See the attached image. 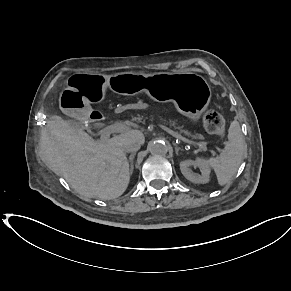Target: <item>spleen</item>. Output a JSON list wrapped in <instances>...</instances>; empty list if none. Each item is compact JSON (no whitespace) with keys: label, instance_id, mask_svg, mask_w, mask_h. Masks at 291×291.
<instances>
[{"label":"spleen","instance_id":"obj_1","mask_svg":"<svg viewBox=\"0 0 291 291\" xmlns=\"http://www.w3.org/2000/svg\"><path fill=\"white\" fill-rule=\"evenodd\" d=\"M245 152V142L239 122L234 120L228 130V141L221 154L205 162L213 168L219 185L227 184L236 174Z\"/></svg>","mask_w":291,"mask_h":291}]
</instances>
